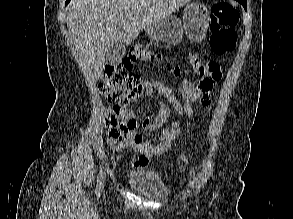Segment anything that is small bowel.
<instances>
[{
    "label": "small bowel",
    "mask_w": 293,
    "mask_h": 219,
    "mask_svg": "<svg viewBox=\"0 0 293 219\" xmlns=\"http://www.w3.org/2000/svg\"><path fill=\"white\" fill-rule=\"evenodd\" d=\"M205 78L201 76L196 84L185 79L181 82L179 92L181 100H179L171 90L164 87L162 83L151 79H145L143 86L145 92L154 95L159 105V113L155 116H149L141 123V129L146 132L162 129L161 135L146 139L143 133L138 131V123L132 113L128 112V121L126 126L118 130H112L106 137V141L111 146L119 147L117 158L120 159L124 153L131 147L141 153V155L133 161L135 167L146 166L152 157L160 155L171 148V141L180 135L179 123L183 113L193 114V104L200 101L205 108H210L211 94L214 89V83L204 90L202 83ZM165 98V101L160 99ZM174 108L178 119L170 126L164 127L168 120L171 109Z\"/></svg>",
    "instance_id": "1"
}]
</instances>
